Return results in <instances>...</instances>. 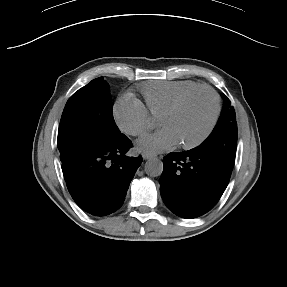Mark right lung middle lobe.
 <instances>
[{
  "label": "right lung middle lobe",
  "mask_w": 287,
  "mask_h": 287,
  "mask_svg": "<svg viewBox=\"0 0 287 287\" xmlns=\"http://www.w3.org/2000/svg\"><path fill=\"white\" fill-rule=\"evenodd\" d=\"M113 118L109 85L103 77L92 80L67 101L58 130L60 160L98 148L120 137Z\"/></svg>",
  "instance_id": "dd1d6c3e"
}]
</instances>
